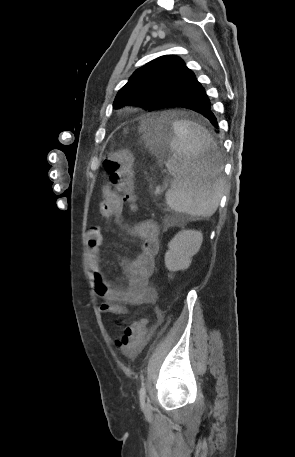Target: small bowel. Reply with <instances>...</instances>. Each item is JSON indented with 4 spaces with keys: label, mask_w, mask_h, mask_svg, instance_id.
I'll return each mask as SVG.
<instances>
[{
    "label": "small bowel",
    "mask_w": 295,
    "mask_h": 457,
    "mask_svg": "<svg viewBox=\"0 0 295 457\" xmlns=\"http://www.w3.org/2000/svg\"><path fill=\"white\" fill-rule=\"evenodd\" d=\"M123 210V202L112 185L103 189V201L100 203L99 212L102 218H120ZM130 232L141 240V251L133 259H122L121 266L128 276L125 287H117L108 282L103 275L101 267V246L103 235L97 226L92 227L87 234L88 263L93 276L96 294L103 299L100 306L102 313H112L127 316V305H144L154 303L157 293L149 285V278L155 267V257L160 249L159 230L152 220H145L133 228ZM138 349L125 352L134 356Z\"/></svg>",
    "instance_id": "small-bowel-1"
}]
</instances>
